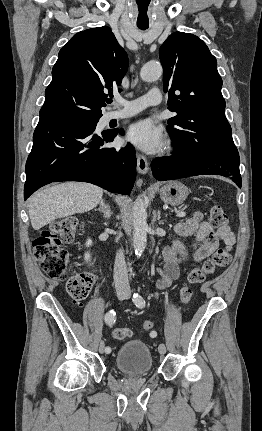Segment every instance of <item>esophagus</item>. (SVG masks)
I'll return each instance as SVG.
<instances>
[{
  "instance_id": "1",
  "label": "esophagus",
  "mask_w": 262,
  "mask_h": 431,
  "mask_svg": "<svg viewBox=\"0 0 262 431\" xmlns=\"http://www.w3.org/2000/svg\"><path fill=\"white\" fill-rule=\"evenodd\" d=\"M137 170L142 175L146 174L149 170L148 161L142 154H137Z\"/></svg>"
}]
</instances>
